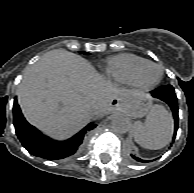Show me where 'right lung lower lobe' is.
<instances>
[{
    "instance_id": "1",
    "label": "right lung lower lobe",
    "mask_w": 194,
    "mask_h": 193,
    "mask_svg": "<svg viewBox=\"0 0 194 193\" xmlns=\"http://www.w3.org/2000/svg\"><path fill=\"white\" fill-rule=\"evenodd\" d=\"M13 123L19 140L28 152L48 160L63 159L75 154L82 144L85 133L96 126L94 123L89 124L65 142L53 141L26 121L16 100L13 106Z\"/></svg>"
}]
</instances>
